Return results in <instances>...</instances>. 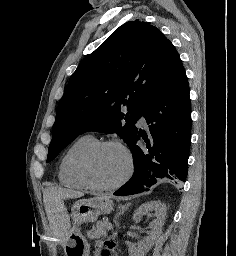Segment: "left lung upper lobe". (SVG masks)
<instances>
[{"mask_svg": "<svg viewBox=\"0 0 236 256\" xmlns=\"http://www.w3.org/2000/svg\"><path fill=\"white\" fill-rule=\"evenodd\" d=\"M183 69L159 29L139 20L120 26L71 75L57 108L47 162L87 131L117 133L129 144L143 107Z\"/></svg>", "mask_w": 236, "mask_h": 256, "instance_id": "obj_1", "label": "left lung upper lobe"}]
</instances>
